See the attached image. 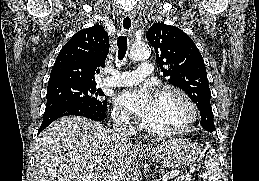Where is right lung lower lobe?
<instances>
[{
  "mask_svg": "<svg viewBox=\"0 0 259 181\" xmlns=\"http://www.w3.org/2000/svg\"><path fill=\"white\" fill-rule=\"evenodd\" d=\"M106 109L107 107L98 110L90 107L77 106V105L60 107L44 115L43 122L38 130V134L54 120L63 116L77 115V116H84L95 121H102L106 117Z\"/></svg>",
  "mask_w": 259,
  "mask_h": 181,
  "instance_id": "right-lung-lower-lobe-1",
  "label": "right lung lower lobe"
}]
</instances>
